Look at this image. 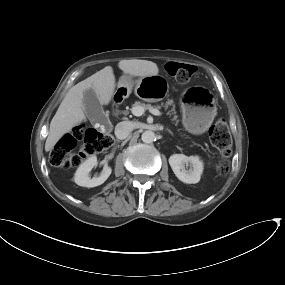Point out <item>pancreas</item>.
<instances>
[{
  "label": "pancreas",
  "mask_w": 285,
  "mask_h": 285,
  "mask_svg": "<svg viewBox=\"0 0 285 285\" xmlns=\"http://www.w3.org/2000/svg\"><path fill=\"white\" fill-rule=\"evenodd\" d=\"M163 105V104H162ZM172 105L173 108L171 109V112L175 114V108H174V104H173V100H168L165 104L164 107L168 108V106ZM135 106H141L143 107L145 110H150L152 108L155 109H160L161 107L159 105L153 107L151 104H145V103H141V102H135L133 104V107ZM177 116H174V120H176ZM177 122V121H176Z\"/></svg>",
  "instance_id": "1"
}]
</instances>
